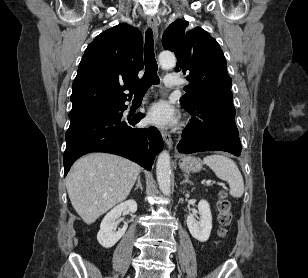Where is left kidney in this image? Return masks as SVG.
<instances>
[{
    "mask_svg": "<svg viewBox=\"0 0 308 278\" xmlns=\"http://www.w3.org/2000/svg\"><path fill=\"white\" fill-rule=\"evenodd\" d=\"M198 210L199 221L195 219L194 215H189L186 220L187 227L192 237L200 242H206L212 230V215L209 203L206 200H201L198 204Z\"/></svg>",
    "mask_w": 308,
    "mask_h": 278,
    "instance_id": "1",
    "label": "left kidney"
}]
</instances>
